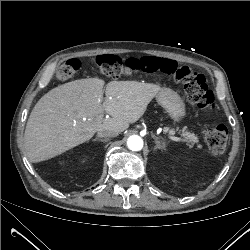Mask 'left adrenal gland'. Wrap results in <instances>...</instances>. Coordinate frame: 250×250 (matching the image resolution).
<instances>
[{
  "instance_id": "left-adrenal-gland-1",
  "label": "left adrenal gland",
  "mask_w": 250,
  "mask_h": 250,
  "mask_svg": "<svg viewBox=\"0 0 250 250\" xmlns=\"http://www.w3.org/2000/svg\"><path fill=\"white\" fill-rule=\"evenodd\" d=\"M152 138L155 140V144H156V146L154 147V150L165 149L164 143H161V141L155 135H152Z\"/></svg>"
}]
</instances>
